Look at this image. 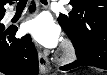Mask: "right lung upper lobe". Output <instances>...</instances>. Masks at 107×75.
<instances>
[{
	"mask_svg": "<svg viewBox=\"0 0 107 75\" xmlns=\"http://www.w3.org/2000/svg\"><path fill=\"white\" fill-rule=\"evenodd\" d=\"M5 2H7V0H1L0 1V14H4L5 13V8H4V4ZM9 2V1H8Z\"/></svg>",
	"mask_w": 107,
	"mask_h": 75,
	"instance_id": "1",
	"label": "right lung upper lobe"
}]
</instances>
